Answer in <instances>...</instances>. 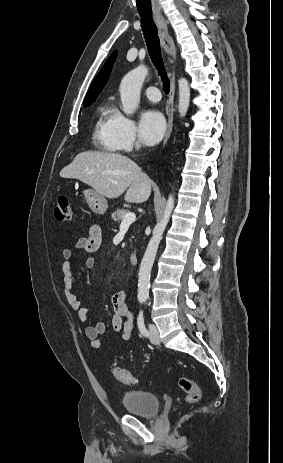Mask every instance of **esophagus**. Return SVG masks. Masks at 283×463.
Masks as SVG:
<instances>
[{
    "mask_svg": "<svg viewBox=\"0 0 283 463\" xmlns=\"http://www.w3.org/2000/svg\"><path fill=\"white\" fill-rule=\"evenodd\" d=\"M154 21L158 27L159 36L161 39L162 48L167 56L168 64L170 65V93L167 101V116L168 125L166 135L163 141V147L167 144L173 129V114H174V94H175V62L176 51L173 38L169 34L167 22L162 15L154 16Z\"/></svg>",
    "mask_w": 283,
    "mask_h": 463,
    "instance_id": "34e87169",
    "label": "esophagus"
}]
</instances>
